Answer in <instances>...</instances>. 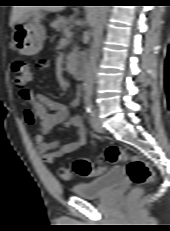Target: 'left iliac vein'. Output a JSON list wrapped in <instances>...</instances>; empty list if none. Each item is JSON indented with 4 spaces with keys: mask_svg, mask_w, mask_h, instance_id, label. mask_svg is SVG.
Instances as JSON below:
<instances>
[{
    "mask_svg": "<svg viewBox=\"0 0 170 231\" xmlns=\"http://www.w3.org/2000/svg\"><path fill=\"white\" fill-rule=\"evenodd\" d=\"M91 126L98 133H103L104 132V128H103V126H102V124L100 122V119H99V117H98V115L96 113L91 115Z\"/></svg>",
    "mask_w": 170,
    "mask_h": 231,
    "instance_id": "obj_1",
    "label": "left iliac vein"
}]
</instances>
